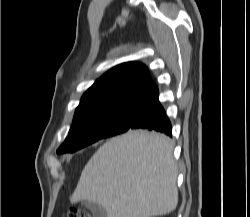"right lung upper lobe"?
<instances>
[{
  "label": "right lung upper lobe",
  "instance_id": "obj_1",
  "mask_svg": "<svg viewBox=\"0 0 250 217\" xmlns=\"http://www.w3.org/2000/svg\"><path fill=\"white\" fill-rule=\"evenodd\" d=\"M158 92L146 67L137 62L120 64L85 92L74 118L120 106L141 105Z\"/></svg>",
  "mask_w": 250,
  "mask_h": 217
}]
</instances>
